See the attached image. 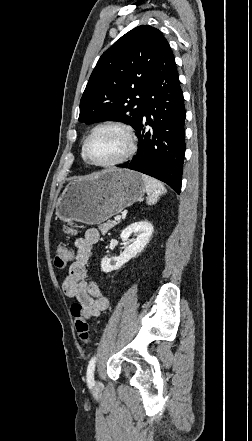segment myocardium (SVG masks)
Segmentation results:
<instances>
[{
  "mask_svg": "<svg viewBox=\"0 0 252 441\" xmlns=\"http://www.w3.org/2000/svg\"><path fill=\"white\" fill-rule=\"evenodd\" d=\"M103 128H114V129L120 130L126 138L127 148H126L125 152L119 158H117L113 161H110V162L99 163V162L93 161L88 156L87 146H88L90 139L93 137V135L97 131H99ZM136 149H137L136 137H135V133H134L131 126H129L126 123L119 122V121H104V122L97 124L95 127H93L92 130L90 131V133L85 138L83 145H82V156H83L84 160L86 161V163H88L91 166L100 167V168H111V167H115V166H118V165H121V164L127 162L134 155Z\"/></svg>",
  "mask_w": 252,
  "mask_h": 441,
  "instance_id": "1",
  "label": "myocardium"
}]
</instances>
